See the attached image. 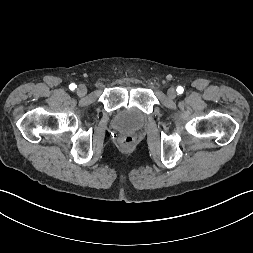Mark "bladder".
I'll return each mask as SVG.
<instances>
[{"mask_svg":"<svg viewBox=\"0 0 253 253\" xmlns=\"http://www.w3.org/2000/svg\"><path fill=\"white\" fill-rule=\"evenodd\" d=\"M144 123V115L136 108H123L115 117V124L123 130H137Z\"/></svg>","mask_w":253,"mask_h":253,"instance_id":"bladder-1","label":"bladder"}]
</instances>
